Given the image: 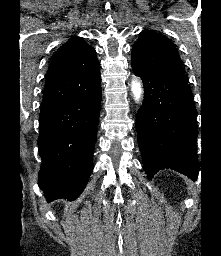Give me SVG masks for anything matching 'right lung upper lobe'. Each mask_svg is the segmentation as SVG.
<instances>
[{
	"instance_id": "right-lung-upper-lobe-1",
	"label": "right lung upper lobe",
	"mask_w": 221,
	"mask_h": 256,
	"mask_svg": "<svg viewBox=\"0 0 221 256\" xmlns=\"http://www.w3.org/2000/svg\"><path fill=\"white\" fill-rule=\"evenodd\" d=\"M101 87L96 51L81 37H73L52 58L41 110L56 107Z\"/></svg>"
}]
</instances>
